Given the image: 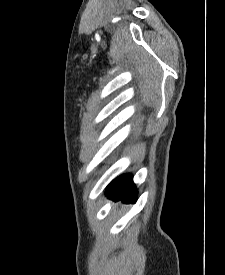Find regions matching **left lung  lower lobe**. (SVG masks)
<instances>
[{"label": "left lung lower lobe", "mask_w": 225, "mask_h": 275, "mask_svg": "<svg viewBox=\"0 0 225 275\" xmlns=\"http://www.w3.org/2000/svg\"><path fill=\"white\" fill-rule=\"evenodd\" d=\"M137 191L132 181V175L124 174L114 180L106 190V195L113 200H122L126 203L136 202Z\"/></svg>", "instance_id": "0a47b994"}]
</instances>
